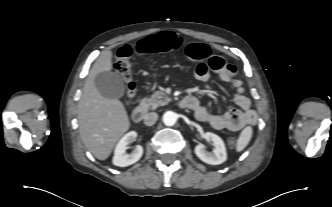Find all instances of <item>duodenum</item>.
I'll return each mask as SVG.
<instances>
[{"label":"duodenum","instance_id":"410a0bca","mask_svg":"<svg viewBox=\"0 0 332 207\" xmlns=\"http://www.w3.org/2000/svg\"><path fill=\"white\" fill-rule=\"evenodd\" d=\"M137 100H138L139 104L132 112V120L136 123H140L143 121V119L145 117L146 106L144 103H142V98L140 95L137 97ZM193 102H194V97L188 95L181 99L180 105L183 108L189 109L192 107Z\"/></svg>","mask_w":332,"mask_h":207}]
</instances>
